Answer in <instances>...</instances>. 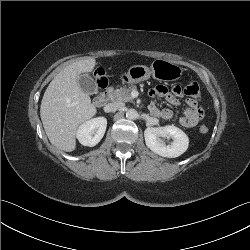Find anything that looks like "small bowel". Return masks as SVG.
<instances>
[{"label": "small bowel", "instance_id": "small-bowel-1", "mask_svg": "<svg viewBox=\"0 0 250 250\" xmlns=\"http://www.w3.org/2000/svg\"><path fill=\"white\" fill-rule=\"evenodd\" d=\"M184 93V88L176 84L172 87L171 92H168L167 88L163 85H157L149 90L151 97H163L166 101L173 105L179 106L180 97ZM187 108L184 110L183 115L180 117L179 122L186 128H192L199 124L203 118V110L199 103L193 99H186ZM150 111L152 115L162 120H170L173 118V112L168 109H160L155 104L150 105Z\"/></svg>", "mask_w": 250, "mask_h": 250}]
</instances>
